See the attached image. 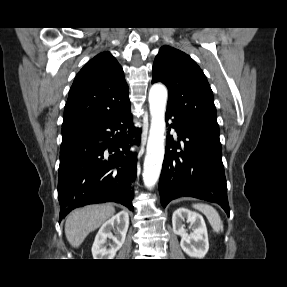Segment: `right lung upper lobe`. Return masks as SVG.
<instances>
[{
    "label": "right lung upper lobe",
    "mask_w": 287,
    "mask_h": 287,
    "mask_svg": "<svg viewBox=\"0 0 287 287\" xmlns=\"http://www.w3.org/2000/svg\"><path fill=\"white\" fill-rule=\"evenodd\" d=\"M128 95L122 67L109 52L100 53L76 75L62 127L85 126L119 112L130 105Z\"/></svg>",
    "instance_id": "obj_1"
}]
</instances>
